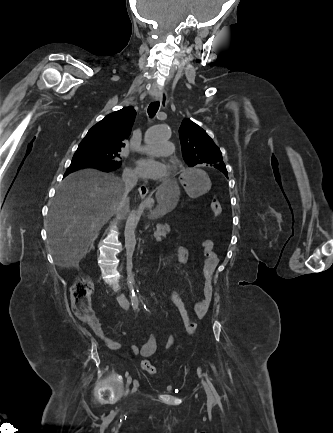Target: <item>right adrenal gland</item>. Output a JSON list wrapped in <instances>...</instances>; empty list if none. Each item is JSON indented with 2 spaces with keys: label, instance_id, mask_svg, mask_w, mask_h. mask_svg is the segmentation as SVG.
<instances>
[{
  "label": "right adrenal gland",
  "instance_id": "2a0ac1e0",
  "mask_svg": "<svg viewBox=\"0 0 333 433\" xmlns=\"http://www.w3.org/2000/svg\"><path fill=\"white\" fill-rule=\"evenodd\" d=\"M93 248H94V244H91L89 249H88V252H90Z\"/></svg>",
  "mask_w": 333,
  "mask_h": 433
}]
</instances>
